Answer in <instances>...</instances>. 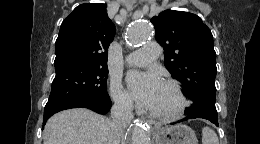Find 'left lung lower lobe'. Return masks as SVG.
<instances>
[{
  "mask_svg": "<svg viewBox=\"0 0 260 144\" xmlns=\"http://www.w3.org/2000/svg\"><path fill=\"white\" fill-rule=\"evenodd\" d=\"M195 118L207 119L211 121L213 124H215L216 126H218L217 111H213V110H202L194 114H188L183 120L178 122H182L188 119H195Z\"/></svg>",
  "mask_w": 260,
  "mask_h": 144,
  "instance_id": "obj_1",
  "label": "left lung lower lobe"
}]
</instances>
